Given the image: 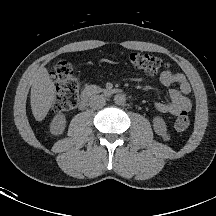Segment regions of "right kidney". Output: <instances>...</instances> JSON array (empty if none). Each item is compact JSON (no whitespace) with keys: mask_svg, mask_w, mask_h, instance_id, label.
I'll use <instances>...</instances> for the list:
<instances>
[{"mask_svg":"<svg viewBox=\"0 0 216 216\" xmlns=\"http://www.w3.org/2000/svg\"><path fill=\"white\" fill-rule=\"evenodd\" d=\"M66 126L65 115L59 114L56 115L50 125V131L54 135H60L63 133Z\"/></svg>","mask_w":216,"mask_h":216,"instance_id":"ca27d5eb","label":"right kidney"}]
</instances>
